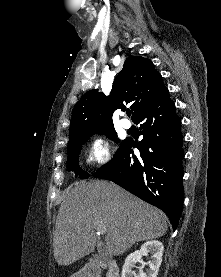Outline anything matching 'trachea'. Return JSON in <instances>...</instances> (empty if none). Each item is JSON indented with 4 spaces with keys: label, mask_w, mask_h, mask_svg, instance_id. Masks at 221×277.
Listing matches in <instances>:
<instances>
[{
    "label": "trachea",
    "mask_w": 221,
    "mask_h": 277,
    "mask_svg": "<svg viewBox=\"0 0 221 277\" xmlns=\"http://www.w3.org/2000/svg\"><path fill=\"white\" fill-rule=\"evenodd\" d=\"M126 113L128 116H131V111L128 110Z\"/></svg>",
    "instance_id": "trachea-1"
}]
</instances>
